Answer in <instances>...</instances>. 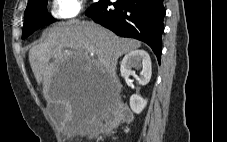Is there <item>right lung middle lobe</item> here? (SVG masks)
<instances>
[{
    "label": "right lung middle lobe",
    "mask_w": 227,
    "mask_h": 142,
    "mask_svg": "<svg viewBox=\"0 0 227 142\" xmlns=\"http://www.w3.org/2000/svg\"><path fill=\"white\" fill-rule=\"evenodd\" d=\"M47 1L48 0H32L28 2L24 16L22 39L28 37L38 28L55 21L47 12Z\"/></svg>",
    "instance_id": "1"
}]
</instances>
